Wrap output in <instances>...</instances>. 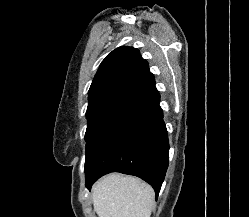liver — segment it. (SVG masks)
<instances>
[{
    "label": "liver",
    "instance_id": "6515ba94",
    "mask_svg": "<svg viewBox=\"0 0 249 217\" xmlns=\"http://www.w3.org/2000/svg\"><path fill=\"white\" fill-rule=\"evenodd\" d=\"M154 190L138 178L110 174L93 187L94 211L98 217H150Z\"/></svg>",
    "mask_w": 249,
    "mask_h": 217
}]
</instances>
